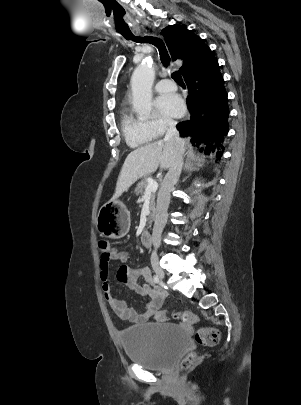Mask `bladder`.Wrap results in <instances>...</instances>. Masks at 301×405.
<instances>
[{
	"label": "bladder",
	"mask_w": 301,
	"mask_h": 405,
	"mask_svg": "<svg viewBox=\"0 0 301 405\" xmlns=\"http://www.w3.org/2000/svg\"><path fill=\"white\" fill-rule=\"evenodd\" d=\"M127 358L154 371H167L189 344L187 330L177 324L149 322L119 334Z\"/></svg>",
	"instance_id": "obj_1"
}]
</instances>
